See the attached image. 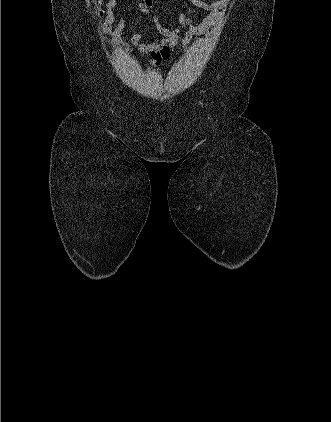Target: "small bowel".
Segmentation results:
<instances>
[{
  "label": "small bowel",
  "mask_w": 331,
  "mask_h": 422,
  "mask_svg": "<svg viewBox=\"0 0 331 422\" xmlns=\"http://www.w3.org/2000/svg\"><path fill=\"white\" fill-rule=\"evenodd\" d=\"M231 0H217L213 3H206L202 0H189L195 7L209 12L203 21L199 24H193L186 12L178 14L180 27L167 25L160 21L156 12L154 0H142L137 4V10L151 18L153 26L161 37L152 43L145 44L142 41L153 35V32L134 33L130 42L122 39L123 29L125 27L124 13L120 19L116 20L113 10L119 3V0H108L106 3L107 13L101 7V0L98 7L99 16L104 18V31L110 35V43L114 48L132 51L143 57L149 65L158 71L164 62L169 59L171 50L180 42L186 46L192 37L202 35L212 30L224 17ZM162 3V2H161ZM184 30V36L181 32Z\"/></svg>",
  "instance_id": "1"
}]
</instances>
